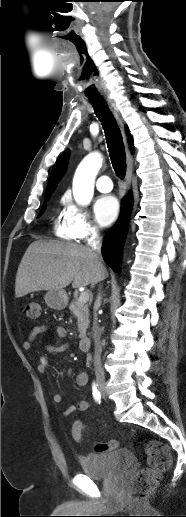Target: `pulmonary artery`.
<instances>
[{
	"instance_id": "e3ab8cb5",
	"label": "pulmonary artery",
	"mask_w": 186,
	"mask_h": 517,
	"mask_svg": "<svg viewBox=\"0 0 186 517\" xmlns=\"http://www.w3.org/2000/svg\"><path fill=\"white\" fill-rule=\"evenodd\" d=\"M96 188L102 193H108L112 190L113 184L107 175L100 176L96 181Z\"/></svg>"
}]
</instances>
